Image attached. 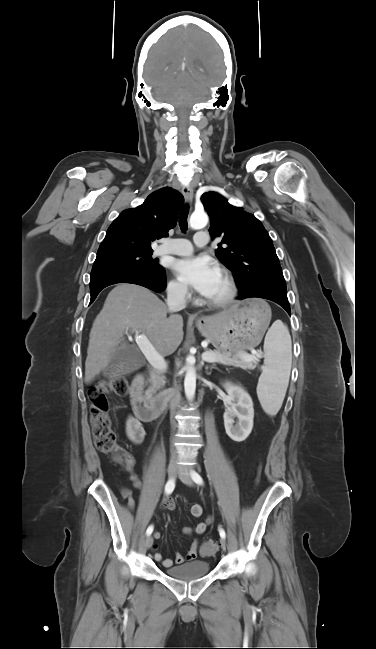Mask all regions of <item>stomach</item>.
<instances>
[{
  "instance_id": "1",
  "label": "stomach",
  "mask_w": 376,
  "mask_h": 649,
  "mask_svg": "<svg viewBox=\"0 0 376 649\" xmlns=\"http://www.w3.org/2000/svg\"><path fill=\"white\" fill-rule=\"evenodd\" d=\"M271 319V310L261 300L238 301L229 310L196 320L200 333L218 351L239 352L256 347Z\"/></svg>"
}]
</instances>
